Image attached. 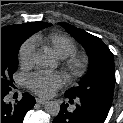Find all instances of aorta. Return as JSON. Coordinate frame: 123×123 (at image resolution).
Instances as JSON below:
<instances>
[{"label": "aorta", "instance_id": "762f6f07", "mask_svg": "<svg viewBox=\"0 0 123 123\" xmlns=\"http://www.w3.org/2000/svg\"><path fill=\"white\" fill-rule=\"evenodd\" d=\"M33 60L41 67H49L54 64L53 58L45 52L36 53L33 56ZM45 111L51 116H57L60 112V104L56 101H49L45 105Z\"/></svg>", "mask_w": 123, "mask_h": 123}]
</instances>
